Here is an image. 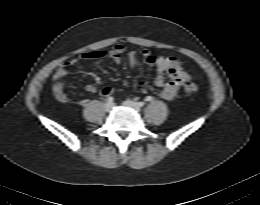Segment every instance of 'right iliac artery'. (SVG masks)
Here are the masks:
<instances>
[{"mask_svg":"<svg viewBox=\"0 0 260 205\" xmlns=\"http://www.w3.org/2000/svg\"><path fill=\"white\" fill-rule=\"evenodd\" d=\"M107 101L112 103L113 102V97H108Z\"/></svg>","mask_w":260,"mask_h":205,"instance_id":"obj_1","label":"right iliac artery"}]
</instances>
